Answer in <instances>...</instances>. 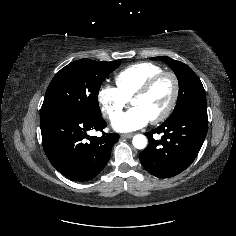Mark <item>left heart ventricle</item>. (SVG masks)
Returning <instances> with one entry per match:
<instances>
[{
    "mask_svg": "<svg viewBox=\"0 0 236 236\" xmlns=\"http://www.w3.org/2000/svg\"><path fill=\"white\" fill-rule=\"evenodd\" d=\"M172 90L173 84L170 78H163L149 94L133 99L131 106L140 108L151 120L165 110L171 98Z\"/></svg>",
    "mask_w": 236,
    "mask_h": 236,
    "instance_id": "b2bd125f",
    "label": "left heart ventricle"
}]
</instances>
